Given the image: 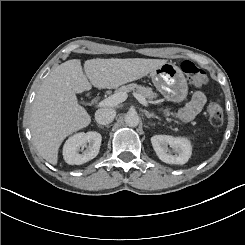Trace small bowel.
<instances>
[{"label": "small bowel", "mask_w": 245, "mask_h": 245, "mask_svg": "<svg viewBox=\"0 0 245 245\" xmlns=\"http://www.w3.org/2000/svg\"><path fill=\"white\" fill-rule=\"evenodd\" d=\"M205 103V94L201 91H196L185 107L178 111L176 117L182 122H188L201 112Z\"/></svg>", "instance_id": "small-bowel-1"}]
</instances>
